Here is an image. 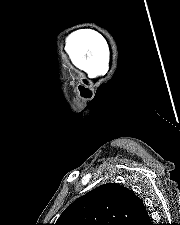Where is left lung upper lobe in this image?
<instances>
[{"instance_id":"1","label":"left lung upper lobe","mask_w":180,"mask_h":225,"mask_svg":"<svg viewBox=\"0 0 180 225\" xmlns=\"http://www.w3.org/2000/svg\"><path fill=\"white\" fill-rule=\"evenodd\" d=\"M145 210L129 189L107 183L69 205L55 225H128Z\"/></svg>"}]
</instances>
